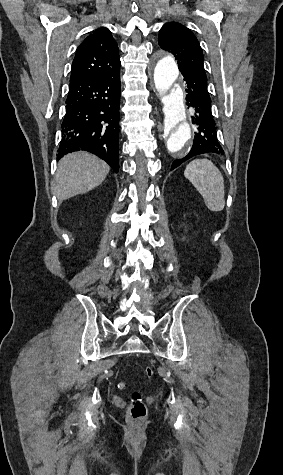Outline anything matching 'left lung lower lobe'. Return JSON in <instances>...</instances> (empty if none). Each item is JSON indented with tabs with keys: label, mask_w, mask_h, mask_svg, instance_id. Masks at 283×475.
<instances>
[{
	"label": "left lung lower lobe",
	"mask_w": 283,
	"mask_h": 475,
	"mask_svg": "<svg viewBox=\"0 0 283 475\" xmlns=\"http://www.w3.org/2000/svg\"><path fill=\"white\" fill-rule=\"evenodd\" d=\"M187 83V105L193 109L192 122L195 125V138L188 155L175 160L171 170L188 159L203 153L223 155L224 151L217 139V127L211 112V99L207 91L206 73L193 69H181Z\"/></svg>",
	"instance_id": "0a47b994"
}]
</instances>
